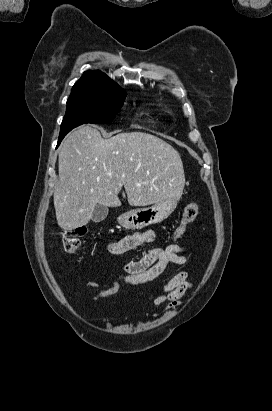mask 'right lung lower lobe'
<instances>
[{"mask_svg":"<svg viewBox=\"0 0 272 411\" xmlns=\"http://www.w3.org/2000/svg\"><path fill=\"white\" fill-rule=\"evenodd\" d=\"M64 137H59V141H58V145L60 144V142L62 141Z\"/></svg>","mask_w":272,"mask_h":411,"instance_id":"98d812e1","label":"right lung lower lobe"}]
</instances>
